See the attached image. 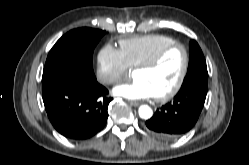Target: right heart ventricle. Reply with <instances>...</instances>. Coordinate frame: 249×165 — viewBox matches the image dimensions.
Listing matches in <instances>:
<instances>
[{"instance_id": "1", "label": "right heart ventricle", "mask_w": 249, "mask_h": 165, "mask_svg": "<svg viewBox=\"0 0 249 165\" xmlns=\"http://www.w3.org/2000/svg\"><path fill=\"white\" fill-rule=\"evenodd\" d=\"M163 34H146L119 41L120 51L131 68L153 57L162 47L174 43Z\"/></svg>"}]
</instances>
